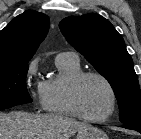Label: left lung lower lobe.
<instances>
[{"label":"left lung lower lobe","instance_id":"0a47b994","mask_svg":"<svg viewBox=\"0 0 141 139\" xmlns=\"http://www.w3.org/2000/svg\"><path fill=\"white\" fill-rule=\"evenodd\" d=\"M123 127L131 130H136L141 133V123H129L125 124Z\"/></svg>","mask_w":141,"mask_h":139}]
</instances>
